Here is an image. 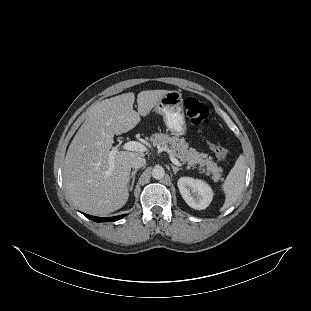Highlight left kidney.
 <instances>
[{
	"mask_svg": "<svg viewBox=\"0 0 311 311\" xmlns=\"http://www.w3.org/2000/svg\"><path fill=\"white\" fill-rule=\"evenodd\" d=\"M180 194L185 202L194 209H206L213 199V190L200 179L181 177L177 181Z\"/></svg>",
	"mask_w": 311,
	"mask_h": 311,
	"instance_id": "1",
	"label": "left kidney"
}]
</instances>
